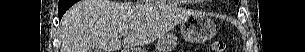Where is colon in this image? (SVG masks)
<instances>
[{
  "mask_svg": "<svg viewBox=\"0 0 305 52\" xmlns=\"http://www.w3.org/2000/svg\"><path fill=\"white\" fill-rule=\"evenodd\" d=\"M211 50L213 52H226L227 46H226L225 42L222 40H214L211 43Z\"/></svg>",
  "mask_w": 305,
  "mask_h": 52,
  "instance_id": "obj_1",
  "label": "colon"
}]
</instances>
